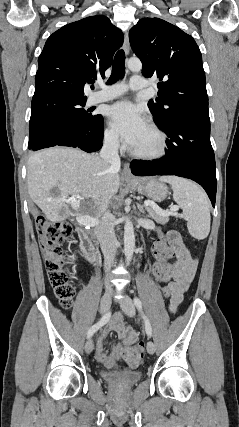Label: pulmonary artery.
Wrapping results in <instances>:
<instances>
[{"mask_svg":"<svg viewBox=\"0 0 239 427\" xmlns=\"http://www.w3.org/2000/svg\"><path fill=\"white\" fill-rule=\"evenodd\" d=\"M147 87L148 84L143 77L134 75L131 77L129 85L124 83H117L111 86L102 85V89L91 95L88 102L89 104H97L100 102L109 101L124 94L128 89L132 91H141L145 90Z\"/></svg>","mask_w":239,"mask_h":427,"instance_id":"pulmonary-artery-1","label":"pulmonary artery"}]
</instances>
